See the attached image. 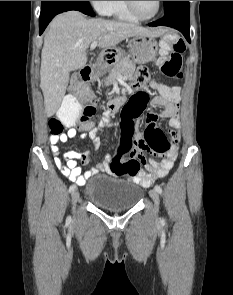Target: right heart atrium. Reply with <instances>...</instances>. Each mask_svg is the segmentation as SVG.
Returning a JSON list of instances; mask_svg holds the SVG:
<instances>
[{
	"mask_svg": "<svg viewBox=\"0 0 233 295\" xmlns=\"http://www.w3.org/2000/svg\"><path fill=\"white\" fill-rule=\"evenodd\" d=\"M92 7L101 15H108L112 1H89Z\"/></svg>",
	"mask_w": 233,
	"mask_h": 295,
	"instance_id": "right-heart-atrium-1",
	"label": "right heart atrium"
}]
</instances>
